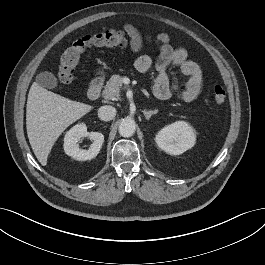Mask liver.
<instances>
[{
  "label": "liver",
  "mask_w": 265,
  "mask_h": 265,
  "mask_svg": "<svg viewBox=\"0 0 265 265\" xmlns=\"http://www.w3.org/2000/svg\"><path fill=\"white\" fill-rule=\"evenodd\" d=\"M92 109L90 105L48 91L37 82L32 84L27 99L26 128L31 148L41 165H47L52 147L62 132Z\"/></svg>",
  "instance_id": "obj_1"
}]
</instances>
